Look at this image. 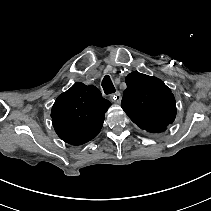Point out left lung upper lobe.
Returning a JSON list of instances; mask_svg holds the SVG:
<instances>
[{
  "mask_svg": "<svg viewBox=\"0 0 211 211\" xmlns=\"http://www.w3.org/2000/svg\"><path fill=\"white\" fill-rule=\"evenodd\" d=\"M121 106L141 129L160 133L176 117V102L171 90L156 77L132 72L126 77Z\"/></svg>",
  "mask_w": 211,
  "mask_h": 211,
  "instance_id": "1",
  "label": "left lung upper lobe"
}]
</instances>
